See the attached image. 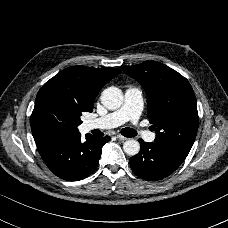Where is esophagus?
<instances>
[{"instance_id": "34e87169", "label": "esophagus", "mask_w": 228, "mask_h": 228, "mask_svg": "<svg viewBox=\"0 0 228 228\" xmlns=\"http://www.w3.org/2000/svg\"><path fill=\"white\" fill-rule=\"evenodd\" d=\"M117 138L121 141L127 140V137H124L123 135H120V134L117 135Z\"/></svg>"}]
</instances>
